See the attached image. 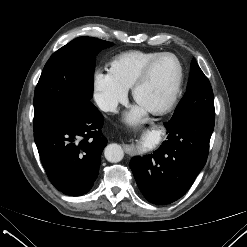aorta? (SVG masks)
<instances>
[{"label":"aorta","instance_id":"obj_1","mask_svg":"<svg viewBox=\"0 0 247 247\" xmlns=\"http://www.w3.org/2000/svg\"><path fill=\"white\" fill-rule=\"evenodd\" d=\"M105 158L112 163L120 162L124 157V151L119 144L112 143L104 149Z\"/></svg>","mask_w":247,"mask_h":247}]
</instances>
